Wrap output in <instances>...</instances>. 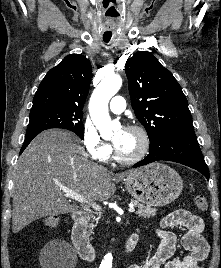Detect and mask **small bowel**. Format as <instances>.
I'll return each instance as SVG.
<instances>
[{"mask_svg":"<svg viewBox=\"0 0 221 268\" xmlns=\"http://www.w3.org/2000/svg\"><path fill=\"white\" fill-rule=\"evenodd\" d=\"M171 227L185 229L181 245L188 252L183 258H174L178 238L167 230ZM203 220L187 210H175L161 221V228L156 231L160 239L156 253L142 264H132L129 268H202V263L209 254V245L203 237Z\"/></svg>","mask_w":221,"mask_h":268,"instance_id":"c3829d8e","label":"small bowel"}]
</instances>
